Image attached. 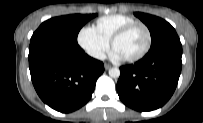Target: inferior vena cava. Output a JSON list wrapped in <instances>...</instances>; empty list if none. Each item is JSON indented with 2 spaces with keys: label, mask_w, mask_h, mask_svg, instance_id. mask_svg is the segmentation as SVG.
<instances>
[{
  "label": "inferior vena cava",
  "mask_w": 203,
  "mask_h": 123,
  "mask_svg": "<svg viewBox=\"0 0 203 123\" xmlns=\"http://www.w3.org/2000/svg\"><path fill=\"white\" fill-rule=\"evenodd\" d=\"M91 56L99 60H104L106 58V55L101 51H93Z\"/></svg>",
  "instance_id": "obj_1"
}]
</instances>
